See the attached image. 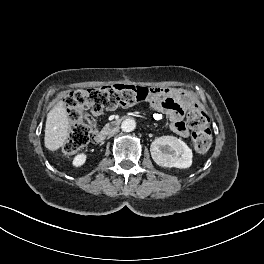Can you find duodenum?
<instances>
[{
  "label": "duodenum",
  "mask_w": 264,
  "mask_h": 264,
  "mask_svg": "<svg viewBox=\"0 0 264 264\" xmlns=\"http://www.w3.org/2000/svg\"><path fill=\"white\" fill-rule=\"evenodd\" d=\"M127 117H123V118H118V119H114L109 121L103 128L101 131L96 132L94 135V140L97 143L102 142L107 136L108 133L113 132V130L115 128H118L120 126V124L126 119Z\"/></svg>",
  "instance_id": "410a0bca"
}]
</instances>
